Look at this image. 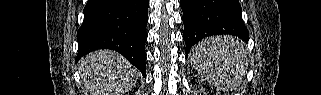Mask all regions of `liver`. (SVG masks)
<instances>
[{
	"label": "liver",
	"instance_id": "obj_1",
	"mask_svg": "<svg viewBox=\"0 0 321 95\" xmlns=\"http://www.w3.org/2000/svg\"><path fill=\"white\" fill-rule=\"evenodd\" d=\"M80 63L90 95H124L139 76L138 70L123 56L110 50L93 52Z\"/></svg>",
	"mask_w": 321,
	"mask_h": 95
}]
</instances>
